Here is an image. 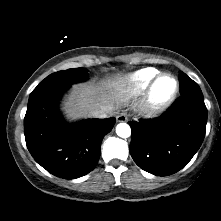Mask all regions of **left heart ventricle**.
I'll return each instance as SVG.
<instances>
[{"mask_svg":"<svg viewBox=\"0 0 221 221\" xmlns=\"http://www.w3.org/2000/svg\"><path fill=\"white\" fill-rule=\"evenodd\" d=\"M174 89V81L169 77L162 78L156 85L155 97L158 100L166 98Z\"/></svg>","mask_w":221,"mask_h":221,"instance_id":"left-heart-ventricle-1","label":"left heart ventricle"}]
</instances>
